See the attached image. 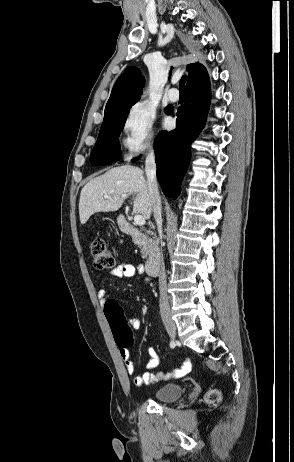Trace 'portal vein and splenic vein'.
<instances>
[{"instance_id":"18ae733b","label":"portal vein and splenic vein","mask_w":294,"mask_h":462,"mask_svg":"<svg viewBox=\"0 0 294 462\" xmlns=\"http://www.w3.org/2000/svg\"><path fill=\"white\" fill-rule=\"evenodd\" d=\"M104 198L109 199V195H104ZM134 223L139 226H143L145 224V218L142 215L136 214L134 216Z\"/></svg>"}]
</instances>
